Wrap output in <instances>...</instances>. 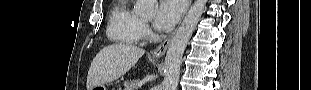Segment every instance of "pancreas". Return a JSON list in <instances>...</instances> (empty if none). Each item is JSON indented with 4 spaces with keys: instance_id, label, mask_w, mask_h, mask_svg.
I'll return each instance as SVG.
<instances>
[{
    "instance_id": "pancreas-1",
    "label": "pancreas",
    "mask_w": 311,
    "mask_h": 90,
    "mask_svg": "<svg viewBox=\"0 0 311 90\" xmlns=\"http://www.w3.org/2000/svg\"><path fill=\"white\" fill-rule=\"evenodd\" d=\"M125 90H139V81L138 80L131 81L125 88Z\"/></svg>"
}]
</instances>
